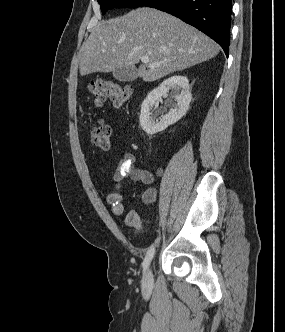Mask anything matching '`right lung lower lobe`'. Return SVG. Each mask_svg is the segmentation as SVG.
<instances>
[{"instance_id": "98d812e1", "label": "right lung lower lobe", "mask_w": 285, "mask_h": 332, "mask_svg": "<svg viewBox=\"0 0 285 332\" xmlns=\"http://www.w3.org/2000/svg\"><path fill=\"white\" fill-rule=\"evenodd\" d=\"M143 6L170 13L216 41L228 57L231 0H149Z\"/></svg>"}]
</instances>
